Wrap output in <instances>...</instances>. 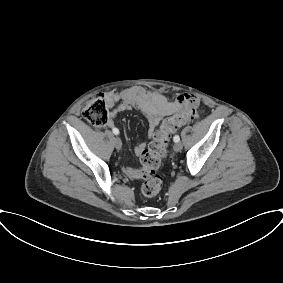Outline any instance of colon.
Masks as SVG:
<instances>
[{"label": "colon", "mask_w": 283, "mask_h": 283, "mask_svg": "<svg viewBox=\"0 0 283 283\" xmlns=\"http://www.w3.org/2000/svg\"><path fill=\"white\" fill-rule=\"evenodd\" d=\"M202 109L197 102H188L179 112L165 119L160 129L154 134L153 141L140 154L141 192L145 197L156 196L162 187V178L157 174L162 160L167 153L171 135L186 122L198 118ZM83 117L94 127L106 126L109 108L101 96L90 97L83 106Z\"/></svg>", "instance_id": "colon-1"}]
</instances>
